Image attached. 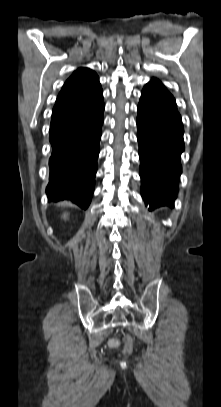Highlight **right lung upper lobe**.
I'll return each mask as SVG.
<instances>
[{"instance_id": "1", "label": "right lung upper lobe", "mask_w": 221, "mask_h": 407, "mask_svg": "<svg viewBox=\"0 0 221 407\" xmlns=\"http://www.w3.org/2000/svg\"><path fill=\"white\" fill-rule=\"evenodd\" d=\"M99 86V78L94 71L88 68H79L65 82L56 103L89 92Z\"/></svg>"}]
</instances>
